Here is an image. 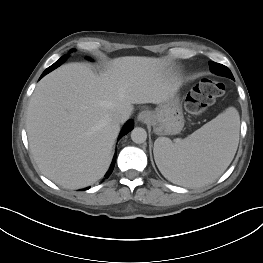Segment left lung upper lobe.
<instances>
[{"label":"left lung upper lobe","instance_id":"1","mask_svg":"<svg viewBox=\"0 0 263 263\" xmlns=\"http://www.w3.org/2000/svg\"><path fill=\"white\" fill-rule=\"evenodd\" d=\"M209 64H210V68L214 67L216 69V71L213 73L234 79L231 71L226 66L215 62H210Z\"/></svg>","mask_w":263,"mask_h":263}]
</instances>
